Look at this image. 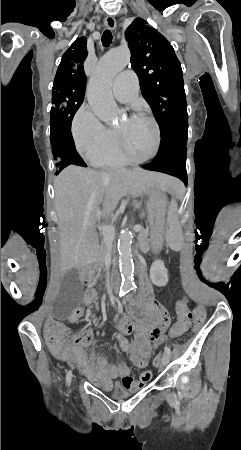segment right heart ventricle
Here are the masks:
<instances>
[{"label": "right heart ventricle", "mask_w": 241, "mask_h": 450, "mask_svg": "<svg viewBox=\"0 0 241 450\" xmlns=\"http://www.w3.org/2000/svg\"><path fill=\"white\" fill-rule=\"evenodd\" d=\"M106 129L104 132V136L106 137ZM119 143L117 141H113V136L111 138V149L109 152L98 156V157H90L87 158L86 161L95 167H118L123 166L129 163L132 160V157L125 158L120 157L121 149H119Z\"/></svg>", "instance_id": "obj_1"}]
</instances>
